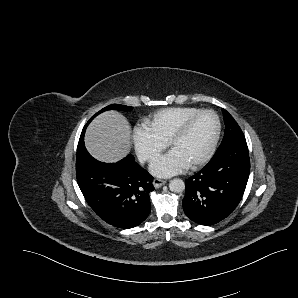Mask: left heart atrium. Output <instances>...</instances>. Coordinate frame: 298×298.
Returning a JSON list of instances; mask_svg holds the SVG:
<instances>
[{"label": "left heart atrium", "mask_w": 298, "mask_h": 298, "mask_svg": "<svg viewBox=\"0 0 298 298\" xmlns=\"http://www.w3.org/2000/svg\"><path fill=\"white\" fill-rule=\"evenodd\" d=\"M187 167L188 165L182 159L169 151L154 157L150 162L149 169L154 175L166 178L181 173Z\"/></svg>", "instance_id": "left-heart-atrium-1"}]
</instances>
